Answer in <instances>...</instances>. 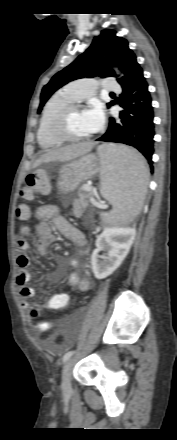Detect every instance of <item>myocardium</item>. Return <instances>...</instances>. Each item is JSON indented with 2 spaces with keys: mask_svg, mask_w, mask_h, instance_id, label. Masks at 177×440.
Listing matches in <instances>:
<instances>
[{
  "mask_svg": "<svg viewBox=\"0 0 177 440\" xmlns=\"http://www.w3.org/2000/svg\"><path fill=\"white\" fill-rule=\"evenodd\" d=\"M81 109L82 106L80 104H68L61 108L51 120L49 132L60 143L81 142L88 140L91 137V135H87L85 137H72L66 131V121L70 113L73 111H80Z\"/></svg>",
  "mask_w": 177,
  "mask_h": 440,
  "instance_id": "f54148a6",
  "label": "myocardium"
}]
</instances>
